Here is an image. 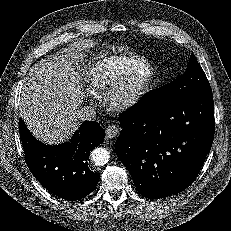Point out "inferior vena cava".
Instances as JSON below:
<instances>
[{
    "label": "inferior vena cava",
    "mask_w": 231,
    "mask_h": 231,
    "mask_svg": "<svg viewBox=\"0 0 231 231\" xmlns=\"http://www.w3.org/2000/svg\"><path fill=\"white\" fill-rule=\"evenodd\" d=\"M77 117L81 121H91L96 119V111L91 106H83L77 111Z\"/></svg>",
    "instance_id": "obj_1"
}]
</instances>
